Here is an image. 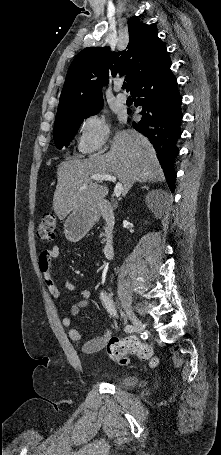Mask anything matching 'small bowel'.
Listing matches in <instances>:
<instances>
[{
  "mask_svg": "<svg viewBox=\"0 0 221 455\" xmlns=\"http://www.w3.org/2000/svg\"><path fill=\"white\" fill-rule=\"evenodd\" d=\"M60 254V249L58 245H54L50 248L44 249L38 258V268L41 272L42 279L46 285V288L50 295L57 299L61 296L62 289L55 282L53 277V269L55 266V260ZM62 288L70 292H74L78 295L79 301L75 303L71 308V315H66L62 318V324L65 328H68V335L73 341L81 340V333L75 329L71 328L72 316L79 313V311L85 307L91 298V291L89 289L77 290L74 284L69 281L63 283ZM111 336V332L107 331L102 336H97L89 341L85 342L82 345V351L87 354L95 353L100 351L106 345L108 339Z\"/></svg>",
  "mask_w": 221,
  "mask_h": 455,
  "instance_id": "obj_1",
  "label": "small bowel"
}]
</instances>
